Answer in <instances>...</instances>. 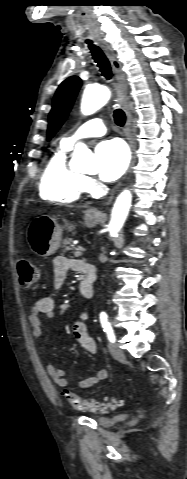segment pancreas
I'll list each match as a JSON object with an SVG mask.
<instances>
[{
  "mask_svg": "<svg viewBox=\"0 0 187 479\" xmlns=\"http://www.w3.org/2000/svg\"><path fill=\"white\" fill-rule=\"evenodd\" d=\"M72 243H73V239H72V238H65V239L63 240V246H62V247L64 248V252L70 251V250H71V251L74 250V247H73ZM74 256H75V257H79V256H81V253L75 252V253H74Z\"/></svg>",
  "mask_w": 187,
  "mask_h": 479,
  "instance_id": "1",
  "label": "pancreas"
}]
</instances>
